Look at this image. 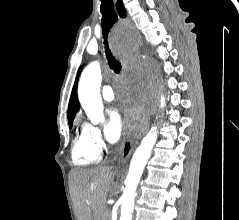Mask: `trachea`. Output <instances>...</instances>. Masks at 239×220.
<instances>
[{"mask_svg":"<svg viewBox=\"0 0 239 220\" xmlns=\"http://www.w3.org/2000/svg\"><path fill=\"white\" fill-rule=\"evenodd\" d=\"M101 13H102V30H103V36L105 39V49H106V56L108 60V64L110 68L116 73L119 74L121 71V64L119 61L115 59V57L112 55L109 46H108V33L114 23L117 22V14L114 9L113 0H101L100 5Z\"/></svg>","mask_w":239,"mask_h":220,"instance_id":"3493384b","label":"trachea"}]
</instances>
